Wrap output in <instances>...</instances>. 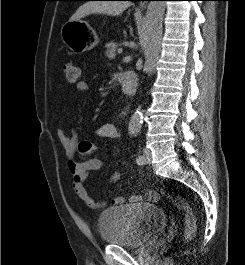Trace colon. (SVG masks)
I'll use <instances>...</instances> for the list:
<instances>
[{
    "instance_id": "colon-1",
    "label": "colon",
    "mask_w": 245,
    "mask_h": 265,
    "mask_svg": "<svg viewBox=\"0 0 245 265\" xmlns=\"http://www.w3.org/2000/svg\"><path fill=\"white\" fill-rule=\"evenodd\" d=\"M63 69L66 80L69 83H76L78 81L79 69L74 63H64ZM95 152L96 146L90 141L83 140L78 144V153L81 157H90L94 155ZM156 192L164 196L174 207L184 213V240L186 242L191 240L196 232V219L187 201L180 195L174 193L165 192L163 190H157Z\"/></svg>"
}]
</instances>
